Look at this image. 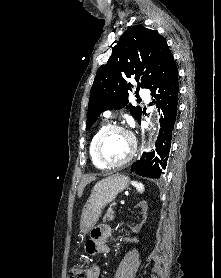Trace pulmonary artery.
<instances>
[{"label": "pulmonary artery", "instance_id": "pulmonary-artery-1", "mask_svg": "<svg viewBox=\"0 0 221 278\" xmlns=\"http://www.w3.org/2000/svg\"><path fill=\"white\" fill-rule=\"evenodd\" d=\"M139 95H140L144 100H146V101L149 100V93H148V90H147V89H145V88L140 89ZM111 115H112L111 111H105V112H104V116L107 117V118L111 117Z\"/></svg>", "mask_w": 221, "mask_h": 278}]
</instances>
